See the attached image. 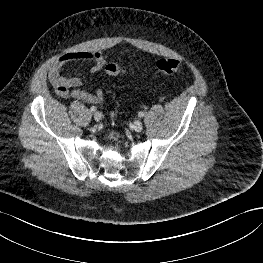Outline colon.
I'll return each instance as SVG.
<instances>
[{
    "label": "colon",
    "mask_w": 263,
    "mask_h": 263,
    "mask_svg": "<svg viewBox=\"0 0 263 263\" xmlns=\"http://www.w3.org/2000/svg\"><path fill=\"white\" fill-rule=\"evenodd\" d=\"M104 68L110 75H121L126 72V68L117 63H108ZM156 70L163 75H182L184 63L175 58H163L157 62Z\"/></svg>",
    "instance_id": "5ec220e1"
}]
</instances>
